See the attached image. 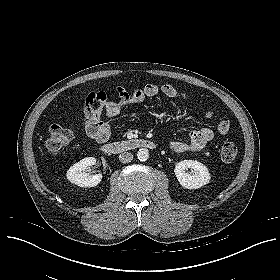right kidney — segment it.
<instances>
[{"label":"right kidney","mask_w":280,"mask_h":280,"mask_svg":"<svg viewBox=\"0 0 280 280\" xmlns=\"http://www.w3.org/2000/svg\"><path fill=\"white\" fill-rule=\"evenodd\" d=\"M96 163L94 157H86L73 164L67 171V179L80 187H95L102 180V174L90 175L84 171Z\"/></svg>","instance_id":"1"}]
</instances>
